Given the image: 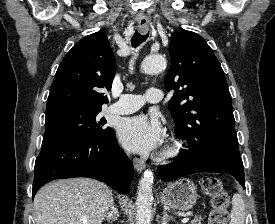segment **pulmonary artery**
I'll list each match as a JSON object with an SVG mask.
<instances>
[{
  "label": "pulmonary artery",
  "mask_w": 275,
  "mask_h": 224,
  "mask_svg": "<svg viewBox=\"0 0 275 224\" xmlns=\"http://www.w3.org/2000/svg\"><path fill=\"white\" fill-rule=\"evenodd\" d=\"M163 92L159 88L147 89L145 95L124 94L110 106V111L116 114H129L142 108L145 104L157 103L162 100Z\"/></svg>",
  "instance_id": "obj_1"
}]
</instances>
